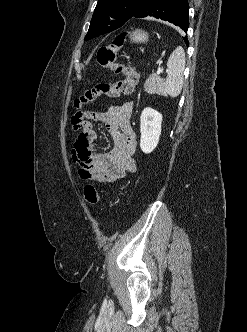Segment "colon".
<instances>
[{
  "label": "colon",
  "mask_w": 247,
  "mask_h": 332,
  "mask_svg": "<svg viewBox=\"0 0 247 332\" xmlns=\"http://www.w3.org/2000/svg\"><path fill=\"white\" fill-rule=\"evenodd\" d=\"M123 41L124 34H120L114 39L111 45L101 46L96 54L98 64L109 68L115 74L120 75V78L116 81L100 82L91 89L86 90L75 100L74 104L76 108H81L83 105L93 102L100 97H117L121 94H129L134 90L138 82L136 69L130 65L118 63L116 60V53L122 46ZM80 121L81 113L79 112L73 119L75 127H78ZM84 197L89 204H97L100 200L97 189L92 185L85 186Z\"/></svg>",
  "instance_id": "obj_1"
}]
</instances>
